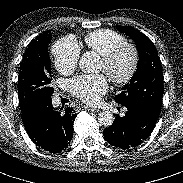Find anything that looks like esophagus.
Wrapping results in <instances>:
<instances>
[{
	"instance_id": "esophagus-1",
	"label": "esophagus",
	"mask_w": 183,
	"mask_h": 183,
	"mask_svg": "<svg viewBox=\"0 0 183 183\" xmlns=\"http://www.w3.org/2000/svg\"><path fill=\"white\" fill-rule=\"evenodd\" d=\"M83 109L89 110V111H96L95 108L89 107V106H82Z\"/></svg>"
}]
</instances>
